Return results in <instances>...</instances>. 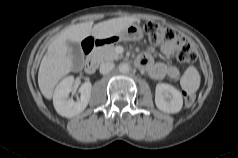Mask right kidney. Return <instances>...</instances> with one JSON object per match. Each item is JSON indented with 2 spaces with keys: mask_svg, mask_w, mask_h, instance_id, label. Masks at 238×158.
I'll return each mask as SVG.
<instances>
[{
  "mask_svg": "<svg viewBox=\"0 0 238 158\" xmlns=\"http://www.w3.org/2000/svg\"><path fill=\"white\" fill-rule=\"evenodd\" d=\"M74 77L68 76L64 78L56 87L53 103L57 113L66 118H72L85 110L87 107L92 85L90 82H86L79 88L80 98L74 101L73 98H69V93L73 90Z\"/></svg>",
  "mask_w": 238,
  "mask_h": 158,
  "instance_id": "obj_1",
  "label": "right kidney"
}]
</instances>
